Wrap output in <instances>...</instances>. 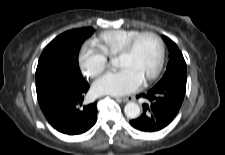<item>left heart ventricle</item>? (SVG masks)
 I'll return each mask as SVG.
<instances>
[{
	"label": "left heart ventricle",
	"instance_id": "obj_1",
	"mask_svg": "<svg viewBox=\"0 0 225 155\" xmlns=\"http://www.w3.org/2000/svg\"><path fill=\"white\" fill-rule=\"evenodd\" d=\"M158 59V44L150 36L141 38L131 54L117 57L118 68H128L134 71L142 81L154 70Z\"/></svg>",
	"mask_w": 225,
	"mask_h": 155
}]
</instances>
